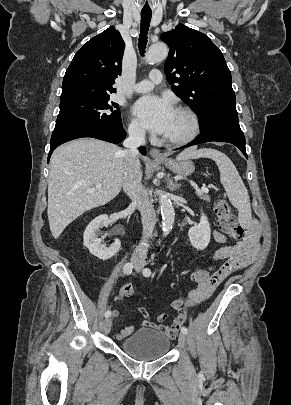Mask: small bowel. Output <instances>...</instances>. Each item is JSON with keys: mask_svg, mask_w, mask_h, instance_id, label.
I'll return each instance as SVG.
<instances>
[{"mask_svg": "<svg viewBox=\"0 0 291 405\" xmlns=\"http://www.w3.org/2000/svg\"><path fill=\"white\" fill-rule=\"evenodd\" d=\"M260 232L261 228L258 222L253 221L247 227L244 240L235 245H225L217 249L212 255V260H224L223 265L214 273L213 277L205 283L199 284L196 288L190 290L188 299H176L172 302L174 309L178 311V316L171 324H166L167 314L158 316L159 323H154L149 319L148 313L144 308H139L138 313L142 316L141 325L151 327L161 331L166 337L173 338L179 331L181 324L187 318L183 307L197 306L210 297L218 285L232 273L250 265L256 258L260 249ZM214 240L217 243L223 244L226 237L218 232H213ZM120 314L118 309L112 310V317H118ZM135 330L134 325H130L122 329L116 334L118 340H122L130 336Z\"/></svg>", "mask_w": 291, "mask_h": 405, "instance_id": "obj_1", "label": "small bowel"}]
</instances>
